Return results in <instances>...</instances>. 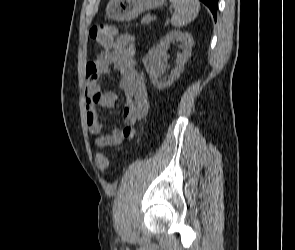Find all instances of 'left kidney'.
Segmentation results:
<instances>
[{
	"mask_svg": "<svg viewBox=\"0 0 295 250\" xmlns=\"http://www.w3.org/2000/svg\"><path fill=\"white\" fill-rule=\"evenodd\" d=\"M180 42L182 53L177 54L176 62L177 67L171 71L168 78L161 79V75L165 72L167 67V47L172 42ZM193 37L189 33H183L181 31H170L168 32L159 42V44L148 52L143 59V64L146 71L149 73L150 79L153 85L161 90L170 86L183 71V67L189 57L193 47Z\"/></svg>",
	"mask_w": 295,
	"mask_h": 250,
	"instance_id": "5707ae66",
	"label": "left kidney"
}]
</instances>
